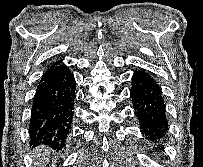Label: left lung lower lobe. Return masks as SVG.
I'll list each match as a JSON object with an SVG mask.
<instances>
[{
    "label": "left lung lower lobe",
    "instance_id": "0a47b994",
    "mask_svg": "<svg viewBox=\"0 0 203 167\" xmlns=\"http://www.w3.org/2000/svg\"><path fill=\"white\" fill-rule=\"evenodd\" d=\"M131 81L130 95L143 135L151 144L165 141L168 121L159 84L144 69L134 71Z\"/></svg>",
    "mask_w": 203,
    "mask_h": 167
}]
</instances>
